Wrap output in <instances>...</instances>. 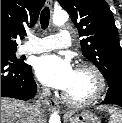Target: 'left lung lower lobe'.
I'll return each mask as SVG.
<instances>
[{
  "label": "left lung lower lobe",
  "mask_w": 122,
  "mask_h": 123,
  "mask_svg": "<svg viewBox=\"0 0 122 123\" xmlns=\"http://www.w3.org/2000/svg\"><path fill=\"white\" fill-rule=\"evenodd\" d=\"M101 104H116L122 106V79L109 83L105 100Z\"/></svg>",
  "instance_id": "obj_1"
}]
</instances>
